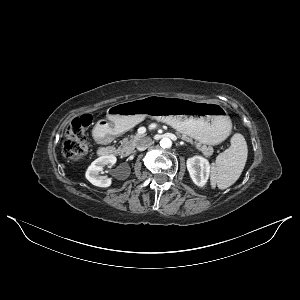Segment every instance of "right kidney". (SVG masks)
Masks as SVG:
<instances>
[{
    "mask_svg": "<svg viewBox=\"0 0 300 300\" xmlns=\"http://www.w3.org/2000/svg\"><path fill=\"white\" fill-rule=\"evenodd\" d=\"M116 160L117 159L114 155L100 156L87 168L85 173L86 179L95 186L109 187L112 183V179L105 176H100L99 172L102 171L105 165H114Z\"/></svg>",
    "mask_w": 300,
    "mask_h": 300,
    "instance_id": "1",
    "label": "right kidney"
}]
</instances>
